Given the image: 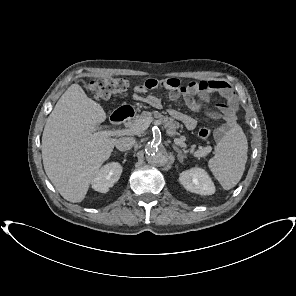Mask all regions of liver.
Wrapping results in <instances>:
<instances>
[{"mask_svg":"<svg viewBox=\"0 0 296 296\" xmlns=\"http://www.w3.org/2000/svg\"><path fill=\"white\" fill-rule=\"evenodd\" d=\"M106 120L102 106L72 84L47 118L42 135L45 172L67 201L81 202L101 165L110 157L116 139L94 136Z\"/></svg>","mask_w":296,"mask_h":296,"instance_id":"6515ba94","label":"liver"}]
</instances>
